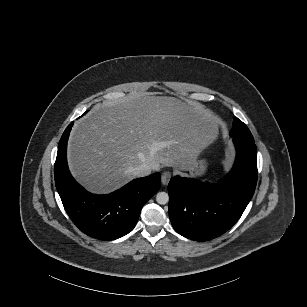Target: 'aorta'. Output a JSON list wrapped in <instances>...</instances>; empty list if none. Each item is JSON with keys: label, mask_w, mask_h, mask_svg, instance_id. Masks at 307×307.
<instances>
[{"label": "aorta", "mask_w": 307, "mask_h": 307, "mask_svg": "<svg viewBox=\"0 0 307 307\" xmlns=\"http://www.w3.org/2000/svg\"><path fill=\"white\" fill-rule=\"evenodd\" d=\"M156 201L158 204L164 205L168 203L169 201V196L166 192H159L156 195Z\"/></svg>", "instance_id": "1"}]
</instances>
